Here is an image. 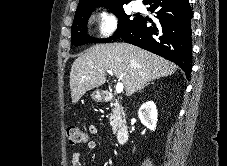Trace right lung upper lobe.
Masks as SVG:
<instances>
[{
    "mask_svg": "<svg viewBox=\"0 0 227 166\" xmlns=\"http://www.w3.org/2000/svg\"><path fill=\"white\" fill-rule=\"evenodd\" d=\"M130 1L131 0H79L76 12L94 9L95 6H106L107 8L123 6ZM146 1L147 0H143V3Z\"/></svg>",
    "mask_w": 227,
    "mask_h": 166,
    "instance_id": "right-lung-upper-lobe-1",
    "label": "right lung upper lobe"
}]
</instances>
